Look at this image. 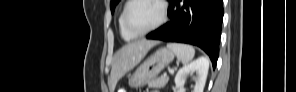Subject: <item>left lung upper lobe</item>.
<instances>
[{
    "label": "left lung upper lobe",
    "mask_w": 296,
    "mask_h": 92,
    "mask_svg": "<svg viewBox=\"0 0 296 92\" xmlns=\"http://www.w3.org/2000/svg\"><path fill=\"white\" fill-rule=\"evenodd\" d=\"M119 1L120 0H111L110 8H111L112 13L114 12V9H115L116 5L119 3Z\"/></svg>",
    "instance_id": "5c2ea615"
}]
</instances>
